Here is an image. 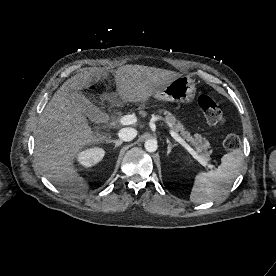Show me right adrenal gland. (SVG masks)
Returning <instances> with one entry per match:
<instances>
[{"instance_id":"1","label":"right adrenal gland","mask_w":276,"mask_h":276,"mask_svg":"<svg viewBox=\"0 0 276 276\" xmlns=\"http://www.w3.org/2000/svg\"><path fill=\"white\" fill-rule=\"evenodd\" d=\"M107 143H113L115 145V149L120 146L123 142L121 140H107Z\"/></svg>"}]
</instances>
